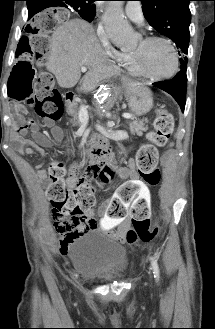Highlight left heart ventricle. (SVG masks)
<instances>
[{"mask_svg":"<svg viewBox=\"0 0 215 329\" xmlns=\"http://www.w3.org/2000/svg\"><path fill=\"white\" fill-rule=\"evenodd\" d=\"M142 48L140 41L133 51ZM143 69L152 75H165L171 72L175 65L174 55L170 46L164 42H154L143 48Z\"/></svg>","mask_w":215,"mask_h":329,"instance_id":"b2bd125f","label":"left heart ventricle"}]
</instances>
